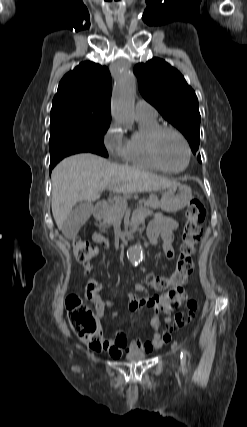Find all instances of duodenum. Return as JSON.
Listing matches in <instances>:
<instances>
[{
    "label": "duodenum",
    "instance_id": "1",
    "mask_svg": "<svg viewBox=\"0 0 247 427\" xmlns=\"http://www.w3.org/2000/svg\"><path fill=\"white\" fill-rule=\"evenodd\" d=\"M107 207H108V204L106 201L97 202L94 207V216L97 218L102 217L105 211L107 210ZM131 237H132V231L127 232L123 236L124 240H130Z\"/></svg>",
    "mask_w": 247,
    "mask_h": 427
}]
</instances>
